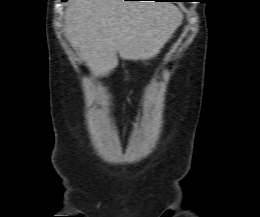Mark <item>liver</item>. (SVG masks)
Returning a JSON list of instances; mask_svg holds the SVG:
<instances>
[{"label":"liver","mask_w":260,"mask_h":217,"mask_svg":"<svg viewBox=\"0 0 260 217\" xmlns=\"http://www.w3.org/2000/svg\"><path fill=\"white\" fill-rule=\"evenodd\" d=\"M168 2L70 0L65 36L95 76H105L125 60L156 56L182 21Z\"/></svg>","instance_id":"6515ba94"}]
</instances>
